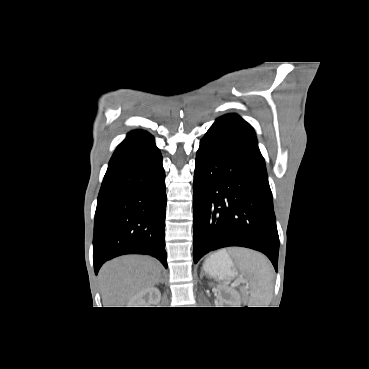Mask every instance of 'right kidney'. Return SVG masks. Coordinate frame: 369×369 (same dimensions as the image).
I'll use <instances>...</instances> for the list:
<instances>
[{
	"label": "right kidney",
	"mask_w": 369,
	"mask_h": 369,
	"mask_svg": "<svg viewBox=\"0 0 369 369\" xmlns=\"http://www.w3.org/2000/svg\"><path fill=\"white\" fill-rule=\"evenodd\" d=\"M161 293L156 287H149L134 295L128 302L127 307H151L159 303Z\"/></svg>",
	"instance_id": "1"
}]
</instances>
